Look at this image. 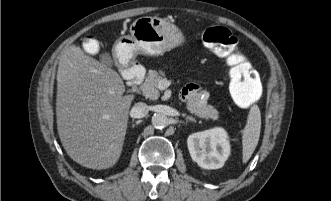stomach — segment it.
<instances>
[{"mask_svg": "<svg viewBox=\"0 0 331 201\" xmlns=\"http://www.w3.org/2000/svg\"><path fill=\"white\" fill-rule=\"evenodd\" d=\"M184 36L180 30L165 19L140 17L130 26V34L115 42V54L122 65H129L138 54L163 55L181 45Z\"/></svg>", "mask_w": 331, "mask_h": 201, "instance_id": "0dacf381", "label": "stomach"}]
</instances>
